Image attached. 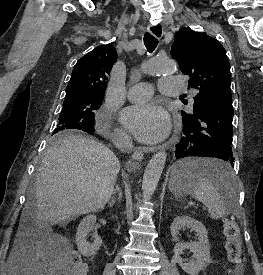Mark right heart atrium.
Masks as SVG:
<instances>
[{
  "label": "right heart atrium",
  "mask_w": 263,
  "mask_h": 275,
  "mask_svg": "<svg viewBox=\"0 0 263 275\" xmlns=\"http://www.w3.org/2000/svg\"><path fill=\"white\" fill-rule=\"evenodd\" d=\"M107 119H108V115H107V113H104V115H103V117H102V120H101L102 123H103V122H106ZM117 137H118V139H120V140H122V141L127 140L126 134H125L123 131H121V130H119V131L117 132Z\"/></svg>",
  "instance_id": "1"
}]
</instances>
